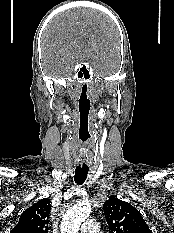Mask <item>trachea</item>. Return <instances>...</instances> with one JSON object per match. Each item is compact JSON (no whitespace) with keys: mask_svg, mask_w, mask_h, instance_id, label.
Returning a JSON list of instances; mask_svg holds the SVG:
<instances>
[{"mask_svg":"<svg viewBox=\"0 0 174 233\" xmlns=\"http://www.w3.org/2000/svg\"><path fill=\"white\" fill-rule=\"evenodd\" d=\"M88 171L89 168L87 167H82V168L76 167L75 176H74L75 183L78 185L83 184L87 178Z\"/></svg>","mask_w":174,"mask_h":233,"instance_id":"3493384b","label":"trachea"}]
</instances>
